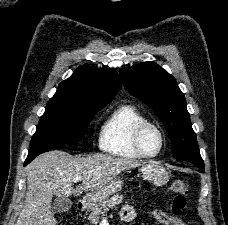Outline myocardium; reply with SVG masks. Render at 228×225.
Returning a JSON list of instances; mask_svg holds the SVG:
<instances>
[{"mask_svg":"<svg viewBox=\"0 0 228 225\" xmlns=\"http://www.w3.org/2000/svg\"><path fill=\"white\" fill-rule=\"evenodd\" d=\"M150 129H154L155 131H157L158 134L160 135V139H161L160 148L154 154L148 153L144 147V137H145V134L147 133V131ZM134 143H135L136 149L139 151V153L143 157L155 158V157H158L159 155H161V153L163 152V150L165 148L166 134H165L163 128L160 125H158L157 123H154L151 121H146L137 128V130L135 132V136H134Z\"/></svg>","mask_w":228,"mask_h":225,"instance_id":"myocardium-1","label":"myocardium"}]
</instances>
